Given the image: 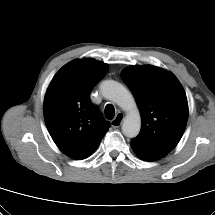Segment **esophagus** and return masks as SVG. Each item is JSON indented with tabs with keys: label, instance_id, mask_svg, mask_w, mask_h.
Instances as JSON below:
<instances>
[{
	"label": "esophagus",
	"instance_id": "34e87169",
	"mask_svg": "<svg viewBox=\"0 0 215 215\" xmlns=\"http://www.w3.org/2000/svg\"><path fill=\"white\" fill-rule=\"evenodd\" d=\"M124 120V115L122 113H118L116 117L111 121V126L114 128L120 127Z\"/></svg>",
	"mask_w": 215,
	"mask_h": 215
}]
</instances>
